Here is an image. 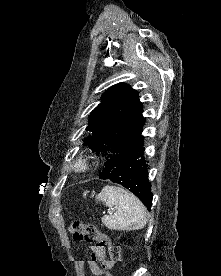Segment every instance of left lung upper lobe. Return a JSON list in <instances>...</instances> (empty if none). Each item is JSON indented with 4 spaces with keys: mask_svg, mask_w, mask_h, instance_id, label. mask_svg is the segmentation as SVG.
Returning a JSON list of instances; mask_svg holds the SVG:
<instances>
[{
    "mask_svg": "<svg viewBox=\"0 0 221 276\" xmlns=\"http://www.w3.org/2000/svg\"><path fill=\"white\" fill-rule=\"evenodd\" d=\"M142 112L138 92L130 85L119 83L110 87L89 116L86 131L91 135L85 138V145L106 160L131 147L143 131Z\"/></svg>",
    "mask_w": 221,
    "mask_h": 276,
    "instance_id": "5c2ea615",
    "label": "left lung upper lobe"
}]
</instances>
